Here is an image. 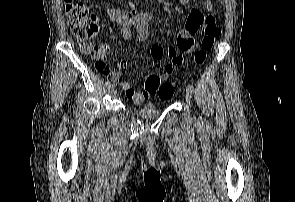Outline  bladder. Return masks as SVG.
I'll list each match as a JSON object with an SVG mask.
<instances>
[{
    "label": "bladder",
    "instance_id": "obj_1",
    "mask_svg": "<svg viewBox=\"0 0 295 202\" xmlns=\"http://www.w3.org/2000/svg\"><path fill=\"white\" fill-rule=\"evenodd\" d=\"M158 113H159V111H158L157 107L152 103L145 104L144 106L138 108L135 111V114L138 117L143 118V119L154 118L158 115Z\"/></svg>",
    "mask_w": 295,
    "mask_h": 202
}]
</instances>
